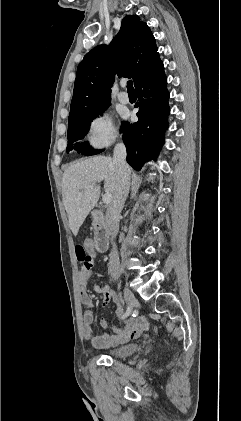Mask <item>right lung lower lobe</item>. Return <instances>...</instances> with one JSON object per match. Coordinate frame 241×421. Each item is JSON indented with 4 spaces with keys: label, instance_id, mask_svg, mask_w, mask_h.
<instances>
[{
    "label": "right lung lower lobe",
    "instance_id": "1",
    "mask_svg": "<svg viewBox=\"0 0 241 421\" xmlns=\"http://www.w3.org/2000/svg\"><path fill=\"white\" fill-rule=\"evenodd\" d=\"M163 62L158 58L135 84L139 107L138 122L123 123V141L127 149V162L137 171L142 165L156 159L168 128L169 92Z\"/></svg>",
    "mask_w": 241,
    "mask_h": 421
}]
</instances>
